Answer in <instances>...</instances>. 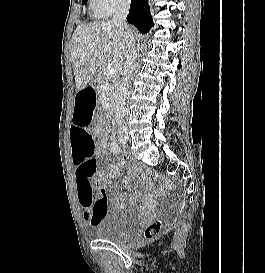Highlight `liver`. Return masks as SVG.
<instances>
[{"label":"liver","instance_id":"1","mask_svg":"<svg viewBox=\"0 0 265 273\" xmlns=\"http://www.w3.org/2000/svg\"><path fill=\"white\" fill-rule=\"evenodd\" d=\"M129 30L134 37L133 31ZM127 43L128 36L111 21L78 26L70 46L76 91L84 89L112 58L122 62L126 56Z\"/></svg>","mask_w":265,"mask_h":273}]
</instances>
